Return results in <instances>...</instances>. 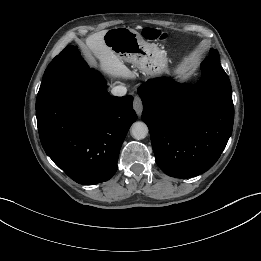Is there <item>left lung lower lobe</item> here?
<instances>
[{"instance_id": "1", "label": "left lung lower lobe", "mask_w": 261, "mask_h": 261, "mask_svg": "<svg viewBox=\"0 0 261 261\" xmlns=\"http://www.w3.org/2000/svg\"><path fill=\"white\" fill-rule=\"evenodd\" d=\"M201 68L203 78L196 86L156 78L138 88L156 163L172 177L190 178L209 170L232 133L230 80L219 60L206 58Z\"/></svg>"}]
</instances>
